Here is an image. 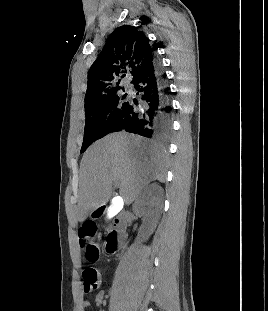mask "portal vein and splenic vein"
I'll use <instances>...</instances> for the list:
<instances>
[{"mask_svg": "<svg viewBox=\"0 0 268 311\" xmlns=\"http://www.w3.org/2000/svg\"><path fill=\"white\" fill-rule=\"evenodd\" d=\"M114 185L117 187V186H118V183L116 182ZM114 200H121V197H116V198H114ZM122 202H123V201H122Z\"/></svg>", "mask_w": 268, "mask_h": 311, "instance_id": "portal-vein-and-splenic-vein-1", "label": "portal vein and splenic vein"}]
</instances>
